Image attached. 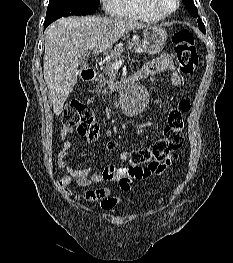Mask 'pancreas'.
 I'll return each mask as SVG.
<instances>
[{
  "label": "pancreas",
  "mask_w": 233,
  "mask_h": 263,
  "mask_svg": "<svg viewBox=\"0 0 233 263\" xmlns=\"http://www.w3.org/2000/svg\"><path fill=\"white\" fill-rule=\"evenodd\" d=\"M129 47H132L134 49L141 48V42L138 39L131 40L129 42ZM122 52H123L122 48L116 47L114 51L111 52L110 59L106 62L105 66L102 68L103 74L99 75L98 82H99L100 87H104V90L102 91L103 94H107V90L105 86L108 82L107 77H109L111 73L113 72L112 65L120 59Z\"/></svg>",
  "instance_id": "cf45deb5"
}]
</instances>
